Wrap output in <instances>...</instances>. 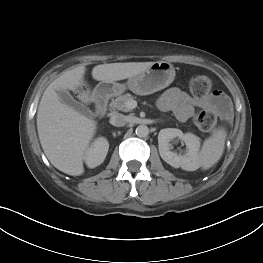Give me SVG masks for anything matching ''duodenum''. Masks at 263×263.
Returning a JSON list of instances; mask_svg holds the SVG:
<instances>
[{
	"mask_svg": "<svg viewBox=\"0 0 263 263\" xmlns=\"http://www.w3.org/2000/svg\"><path fill=\"white\" fill-rule=\"evenodd\" d=\"M108 96L105 90H99L95 96L96 112L99 115H104L107 111Z\"/></svg>",
	"mask_w": 263,
	"mask_h": 263,
	"instance_id": "1",
	"label": "duodenum"
}]
</instances>
